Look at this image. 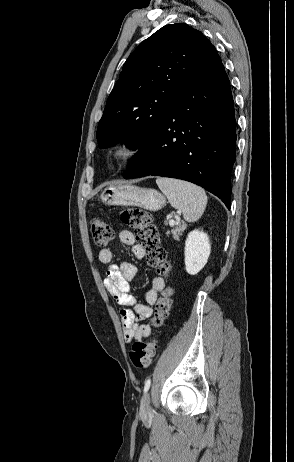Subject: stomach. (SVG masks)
<instances>
[{"label":"stomach","mask_w":294,"mask_h":462,"mask_svg":"<svg viewBox=\"0 0 294 462\" xmlns=\"http://www.w3.org/2000/svg\"><path fill=\"white\" fill-rule=\"evenodd\" d=\"M100 199L106 205L138 206L149 211H158L166 205V198L160 192L130 184L107 187Z\"/></svg>","instance_id":"obj_1"}]
</instances>
